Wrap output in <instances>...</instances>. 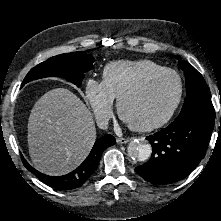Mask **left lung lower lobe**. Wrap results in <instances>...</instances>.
Returning a JSON list of instances; mask_svg holds the SVG:
<instances>
[{
	"instance_id": "0a47b994",
	"label": "left lung lower lobe",
	"mask_w": 221,
	"mask_h": 221,
	"mask_svg": "<svg viewBox=\"0 0 221 221\" xmlns=\"http://www.w3.org/2000/svg\"><path fill=\"white\" fill-rule=\"evenodd\" d=\"M215 123L214 108L196 107L148 136L152 156L135 171L153 184L182 180L204 158Z\"/></svg>"
}]
</instances>
